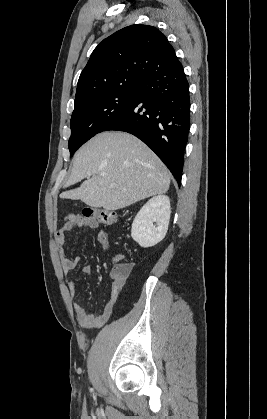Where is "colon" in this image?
<instances>
[{
	"label": "colon",
	"mask_w": 267,
	"mask_h": 419,
	"mask_svg": "<svg viewBox=\"0 0 267 419\" xmlns=\"http://www.w3.org/2000/svg\"><path fill=\"white\" fill-rule=\"evenodd\" d=\"M83 216L103 225H114L119 220V214L114 211L101 208L85 209L83 211ZM116 259L119 261L121 256H117ZM130 268L129 264L118 263L112 271L117 275H126L129 273Z\"/></svg>",
	"instance_id": "obj_1"
}]
</instances>
